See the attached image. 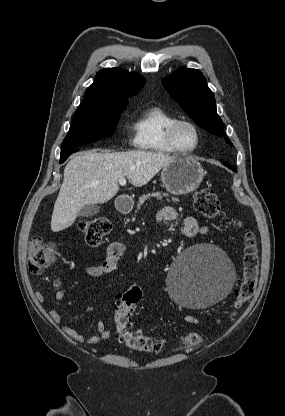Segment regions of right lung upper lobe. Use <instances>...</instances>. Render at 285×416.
Wrapping results in <instances>:
<instances>
[{"label":"right lung upper lobe","instance_id":"1","mask_svg":"<svg viewBox=\"0 0 285 416\" xmlns=\"http://www.w3.org/2000/svg\"><path fill=\"white\" fill-rule=\"evenodd\" d=\"M145 79L138 73L121 68H106L96 74L94 83L87 88L82 107L127 105L128 98L136 95Z\"/></svg>","mask_w":285,"mask_h":416}]
</instances>
